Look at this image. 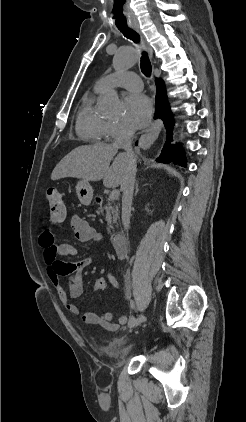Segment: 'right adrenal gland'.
<instances>
[{"mask_svg": "<svg viewBox=\"0 0 246 422\" xmlns=\"http://www.w3.org/2000/svg\"><path fill=\"white\" fill-rule=\"evenodd\" d=\"M138 191H139V184H138V182L136 183V187H135V194H137L138 193Z\"/></svg>", "mask_w": 246, "mask_h": 422, "instance_id": "1", "label": "right adrenal gland"}]
</instances>
